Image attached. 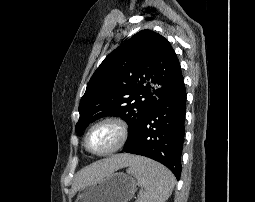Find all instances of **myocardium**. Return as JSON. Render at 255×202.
Instances as JSON below:
<instances>
[{
  "mask_svg": "<svg viewBox=\"0 0 255 202\" xmlns=\"http://www.w3.org/2000/svg\"><path fill=\"white\" fill-rule=\"evenodd\" d=\"M103 125H111L116 128L118 132V140L116 144L108 149L107 151L104 152H94L92 151L89 146H88V139L91 133L98 127L103 126ZM129 137V126L127 122L122 119L121 117L118 116H111V117H106L103 119H100L99 121L95 122L87 131L84 137V146L86 150L96 156H107L110 155L118 150H120L125 143L127 142Z\"/></svg>",
  "mask_w": 255,
  "mask_h": 202,
  "instance_id": "myocardium-1",
  "label": "myocardium"
}]
</instances>
